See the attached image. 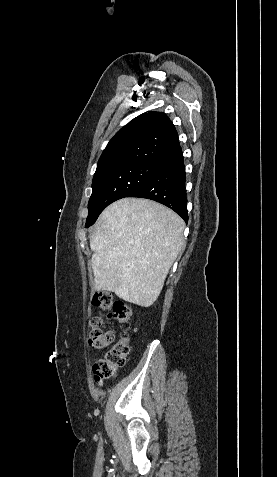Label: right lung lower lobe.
Instances as JSON below:
<instances>
[{
	"mask_svg": "<svg viewBox=\"0 0 277 477\" xmlns=\"http://www.w3.org/2000/svg\"><path fill=\"white\" fill-rule=\"evenodd\" d=\"M186 173L182 151L161 164L157 171L128 197L147 198L174 210L188 221Z\"/></svg>",
	"mask_w": 277,
	"mask_h": 477,
	"instance_id": "1",
	"label": "right lung lower lobe"
}]
</instances>
